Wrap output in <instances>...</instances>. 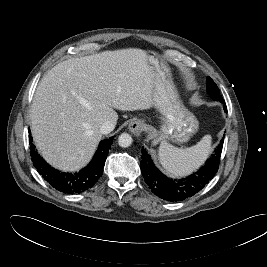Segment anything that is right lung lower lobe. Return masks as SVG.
<instances>
[{"mask_svg":"<svg viewBox=\"0 0 267 267\" xmlns=\"http://www.w3.org/2000/svg\"><path fill=\"white\" fill-rule=\"evenodd\" d=\"M113 138L101 141L94 158L87 167L77 173H64L54 169L40 157L30 137L32 162L41 176L56 190L67 194L81 193L91 188L102 176Z\"/></svg>","mask_w":267,"mask_h":267,"instance_id":"98d812e1","label":"right lung lower lobe"}]
</instances>
